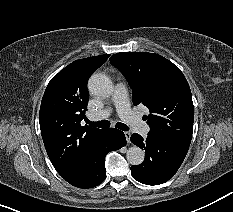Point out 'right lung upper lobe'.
Wrapping results in <instances>:
<instances>
[{"label": "right lung upper lobe", "mask_w": 233, "mask_h": 212, "mask_svg": "<svg viewBox=\"0 0 233 212\" xmlns=\"http://www.w3.org/2000/svg\"><path fill=\"white\" fill-rule=\"evenodd\" d=\"M110 54L72 62L49 82L40 107V129L47 154L57 172L68 177L79 170L104 129L81 126L89 94L87 81Z\"/></svg>", "instance_id": "cb5924a9"}]
</instances>
